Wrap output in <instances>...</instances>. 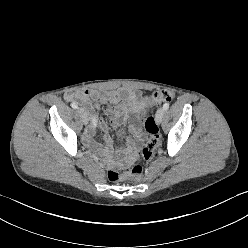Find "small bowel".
I'll return each instance as SVG.
<instances>
[{
  "instance_id": "small-bowel-1",
  "label": "small bowel",
  "mask_w": 248,
  "mask_h": 248,
  "mask_svg": "<svg viewBox=\"0 0 248 248\" xmlns=\"http://www.w3.org/2000/svg\"><path fill=\"white\" fill-rule=\"evenodd\" d=\"M68 101L76 100L82 103L88 110L97 108L96 102L107 104L106 115L112 120L114 126L118 128V136L123 139L124 146L113 147V139L109 135H104V145L101 146L93 141L96 126H90L84 133V143L95 150H99L107 156L112 154L124 155L122 163H131L136 156L137 146L144 140L143 132L138 124L129 120L130 115L142 116L148 110L146 102L141 97V92L135 89L120 88L109 91L79 90L66 94ZM96 120L97 118L94 117ZM99 128L106 133L108 126L104 119H100ZM127 129L128 135H123L122 131Z\"/></svg>"
}]
</instances>
